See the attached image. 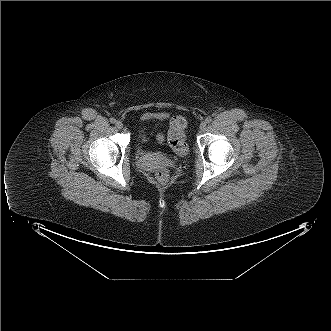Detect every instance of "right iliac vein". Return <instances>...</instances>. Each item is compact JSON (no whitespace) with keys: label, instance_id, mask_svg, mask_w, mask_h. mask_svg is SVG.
<instances>
[{"label":"right iliac vein","instance_id":"63e3f726","mask_svg":"<svg viewBox=\"0 0 331 331\" xmlns=\"http://www.w3.org/2000/svg\"><path fill=\"white\" fill-rule=\"evenodd\" d=\"M115 126H116L117 129H122L123 128V123L120 120H118V121L115 122Z\"/></svg>","mask_w":331,"mask_h":331}]
</instances>
